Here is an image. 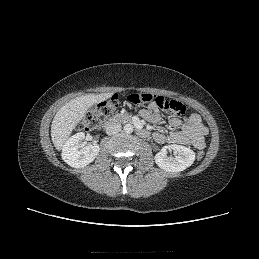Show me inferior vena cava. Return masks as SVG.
<instances>
[{"label": "inferior vena cava", "mask_w": 259, "mask_h": 259, "mask_svg": "<svg viewBox=\"0 0 259 259\" xmlns=\"http://www.w3.org/2000/svg\"><path fill=\"white\" fill-rule=\"evenodd\" d=\"M121 129H122V126L120 123L112 122L107 125L106 133L107 135H114L120 132Z\"/></svg>", "instance_id": "inferior-vena-cava-1"}]
</instances>
